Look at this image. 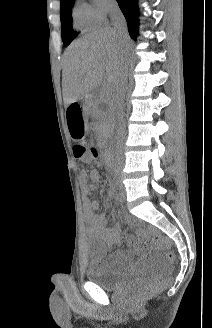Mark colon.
Wrapping results in <instances>:
<instances>
[{
  "mask_svg": "<svg viewBox=\"0 0 212 328\" xmlns=\"http://www.w3.org/2000/svg\"><path fill=\"white\" fill-rule=\"evenodd\" d=\"M74 154L82 163L80 165L81 170L87 172L90 170V162L97 156V151L94 147L88 146L83 140H75L74 144ZM154 240L160 243L162 246L167 247L169 245L168 241L157 234H154ZM169 259H174V254L168 253ZM157 285L155 283H147L144 285L136 294L137 298L144 297L151 294Z\"/></svg>",
  "mask_w": 212,
  "mask_h": 328,
  "instance_id": "1",
  "label": "colon"
}]
</instances>
